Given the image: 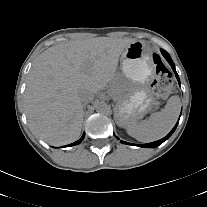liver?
Segmentation results:
<instances>
[{
  "mask_svg": "<svg viewBox=\"0 0 207 207\" xmlns=\"http://www.w3.org/2000/svg\"><path fill=\"white\" fill-rule=\"evenodd\" d=\"M134 40L96 37L56 44L33 64L24 94L30 129L51 145L77 140L83 122L80 94H97L116 77L118 60Z\"/></svg>",
  "mask_w": 207,
  "mask_h": 207,
  "instance_id": "6515ba94",
  "label": "liver"
}]
</instances>
